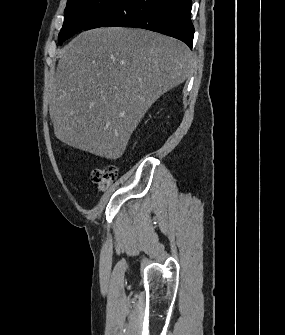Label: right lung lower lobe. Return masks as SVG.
<instances>
[{"label":"right lung lower lobe","instance_id":"1","mask_svg":"<svg viewBox=\"0 0 285 335\" xmlns=\"http://www.w3.org/2000/svg\"><path fill=\"white\" fill-rule=\"evenodd\" d=\"M192 0H115L84 30L107 27L143 28L177 38L192 48Z\"/></svg>","mask_w":285,"mask_h":335}]
</instances>
